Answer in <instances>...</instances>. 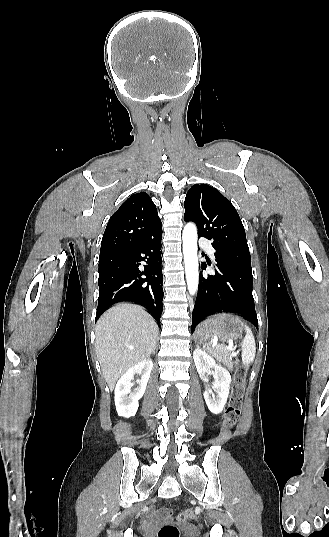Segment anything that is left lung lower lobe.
<instances>
[{"instance_id": "0a47b994", "label": "left lung lower lobe", "mask_w": 329, "mask_h": 537, "mask_svg": "<svg viewBox=\"0 0 329 537\" xmlns=\"http://www.w3.org/2000/svg\"><path fill=\"white\" fill-rule=\"evenodd\" d=\"M215 258V276L200 272L191 331L206 316L219 312L238 313L258 328L252 269L216 255ZM201 268L205 269L206 263Z\"/></svg>"}]
</instances>
